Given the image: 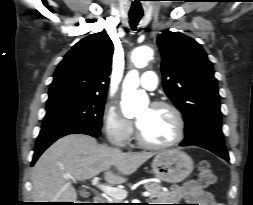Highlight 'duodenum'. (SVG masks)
Masks as SVG:
<instances>
[{"label": "duodenum", "mask_w": 253, "mask_h": 205, "mask_svg": "<svg viewBox=\"0 0 253 205\" xmlns=\"http://www.w3.org/2000/svg\"><path fill=\"white\" fill-rule=\"evenodd\" d=\"M93 201H94L96 204H100V202H102V198H101V196H99V195H95V196L93 197Z\"/></svg>", "instance_id": "410a0bca"}]
</instances>
